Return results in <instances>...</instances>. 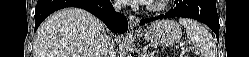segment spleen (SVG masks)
Listing matches in <instances>:
<instances>
[{
	"label": "spleen",
	"mask_w": 249,
	"mask_h": 57,
	"mask_svg": "<svg viewBox=\"0 0 249 57\" xmlns=\"http://www.w3.org/2000/svg\"><path fill=\"white\" fill-rule=\"evenodd\" d=\"M179 23L186 28L187 37L204 57H216L213 37L201 23L189 18H180Z\"/></svg>",
	"instance_id": "obj_1"
}]
</instances>
